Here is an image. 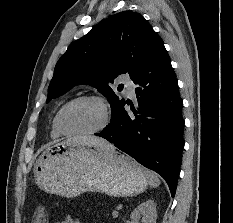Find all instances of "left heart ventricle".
<instances>
[{
	"label": "left heart ventricle",
	"mask_w": 233,
	"mask_h": 223,
	"mask_svg": "<svg viewBox=\"0 0 233 223\" xmlns=\"http://www.w3.org/2000/svg\"><path fill=\"white\" fill-rule=\"evenodd\" d=\"M105 117L101 105L95 101H80L71 105L63 115V124L67 130L84 133L97 130Z\"/></svg>",
	"instance_id": "b2bd125f"
}]
</instances>
